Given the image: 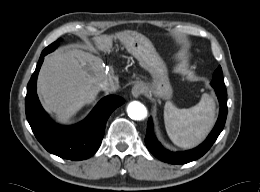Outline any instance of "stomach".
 <instances>
[{
	"instance_id": "obj_1",
	"label": "stomach",
	"mask_w": 260,
	"mask_h": 192,
	"mask_svg": "<svg viewBox=\"0 0 260 192\" xmlns=\"http://www.w3.org/2000/svg\"><path fill=\"white\" fill-rule=\"evenodd\" d=\"M118 37L125 44L129 53L152 74L153 82L147 85V93L157 98H171L173 89L167 75L166 65L156 52L151 41L133 31L120 33Z\"/></svg>"
}]
</instances>
